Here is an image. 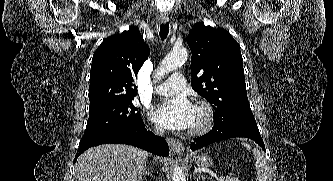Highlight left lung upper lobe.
Returning <instances> with one entry per match:
<instances>
[{
	"label": "left lung upper lobe",
	"instance_id": "5c2ea615",
	"mask_svg": "<svg viewBox=\"0 0 333 181\" xmlns=\"http://www.w3.org/2000/svg\"><path fill=\"white\" fill-rule=\"evenodd\" d=\"M192 51L191 85L239 130L260 134L246 93L240 45L224 29L198 23L187 38Z\"/></svg>",
	"mask_w": 333,
	"mask_h": 181
}]
</instances>
